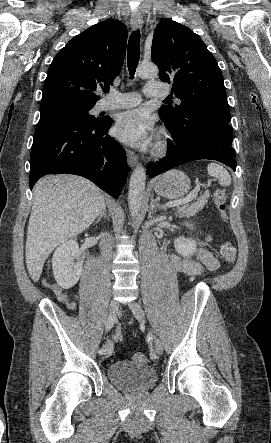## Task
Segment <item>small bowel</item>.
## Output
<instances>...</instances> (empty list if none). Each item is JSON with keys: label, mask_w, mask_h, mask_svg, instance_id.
<instances>
[{"label": "small bowel", "mask_w": 271, "mask_h": 443, "mask_svg": "<svg viewBox=\"0 0 271 443\" xmlns=\"http://www.w3.org/2000/svg\"><path fill=\"white\" fill-rule=\"evenodd\" d=\"M171 261H172L174 267L176 268V270L183 272L185 274H188V275L199 274L202 271V269H204V268L209 269V270H216L218 268V260L215 258V256L211 252H209L205 249H200L197 252V260L196 261L183 259L178 255H172ZM53 291L56 294L58 300L60 302L64 303L68 307V309H70V310L76 309L75 303L69 302L67 300V297L65 296V294H63V292L61 291V289L58 286H54ZM121 337H122L121 331L117 330V332L115 334V339L120 340Z\"/></svg>", "instance_id": "small-bowel-1"}]
</instances>
